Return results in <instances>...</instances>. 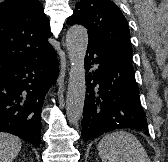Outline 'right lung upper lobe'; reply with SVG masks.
<instances>
[{
  "instance_id": "right-lung-upper-lobe-1",
  "label": "right lung upper lobe",
  "mask_w": 168,
  "mask_h": 162,
  "mask_svg": "<svg viewBox=\"0 0 168 162\" xmlns=\"http://www.w3.org/2000/svg\"><path fill=\"white\" fill-rule=\"evenodd\" d=\"M49 20L38 0L0 3V74L50 53Z\"/></svg>"
}]
</instances>
